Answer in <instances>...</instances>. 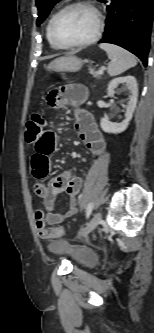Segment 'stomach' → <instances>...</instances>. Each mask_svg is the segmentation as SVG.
<instances>
[{
	"mask_svg": "<svg viewBox=\"0 0 154 333\" xmlns=\"http://www.w3.org/2000/svg\"><path fill=\"white\" fill-rule=\"evenodd\" d=\"M87 60H82L75 55L60 57L52 61L47 68L56 72H77Z\"/></svg>",
	"mask_w": 154,
	"mask_h": 333,
	"instance_id": "stomach-1",
	"label": "stomach"
}]
</instances>
